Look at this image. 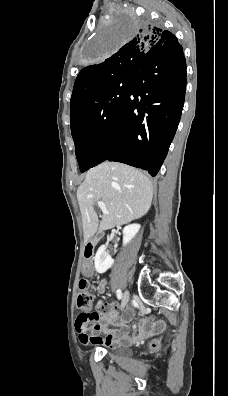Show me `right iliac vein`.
Returning <instances> with one entry per match:
<instances>
[{
  "mask_svg": "<svg viewBox=\"0 0 228 396\" xmlns=\"http://www.w3.org/2000/svg\"><path fill=\"white\" fill-rule=\"evenodd\" d=\"M129 296H130L129 291H125L123 298H122V304H121L122 310L126 307L128 301H129Z\"/></svg>",
  "mask_w": 228,
  "mask_h": 396,
  "instance_id": "obj_1",
  "label": "right iliac vein"
}]
</instances>
